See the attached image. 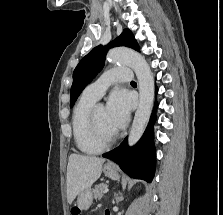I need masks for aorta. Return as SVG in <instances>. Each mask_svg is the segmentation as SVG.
<instances>
[{"label": "aorta", "instance_id": "762f6f07", "mask_svg": "<svg viewBox=\"0 0 223 215\" xmlns=\"http://www.w3.org/2000/svg\"><path fill=\"white\" fill-rule=\"evenodd\" d=\"M110 64H123L134 70L139 82V106L134 115L128 141L134 145L140 139L150 117L154 102V80L152 72L144 56L128 50V48H114L106 56Z\"/></svg>", "mask_w": 223, "mask_h": 215}]
</instances>
